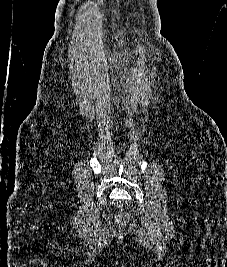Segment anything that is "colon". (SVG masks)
<instances>
[{
  "mask_svg": "<svg viewBox=\"0 0 227 267\" xmlns=\"http://www.w3.org/2000/svg\"><path fill=\"white\" fill-rule=\"evenodd\" d=\"M128 222V218L126 215H121L119 218H118V223L119 225H126Z\"/></svg>",
  "mask_w": 227,
  "mask_h": 267,
  "instance_id": "5ec220e1",
  "label": "colon"
}]
</instances>
